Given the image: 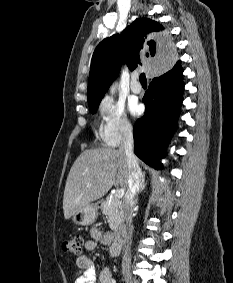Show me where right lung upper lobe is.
I'll return each instance as SVG.
<instances>
[{"instance_id": "obj_1", "label": "right lung upper lobe", "mask_w": 233, "mask_h": 283, "mask_svg": "<svg viewBox=\"0 0 233 283\" xmlns=\"http://www.w3.org/2000/svg\"><path fill=\"white\" fill-rule=\"evenodd\" d=\"M177 54H185V49H176L162 24L137 18L121 34L102 40L96 47L88 80L89 106L100 103L122 63L132 71L143 59H159L143 60V65H149V70H170Z\"/></svg>"}]
</instances>
